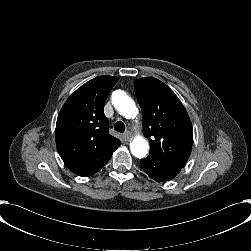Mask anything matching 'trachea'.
<instances>
[{
  "label": "trachea",
  "instance_id": "obj_1",
  "mask_svg": "<svg viewBox=\"0 0 251 251\" xmlns=\"http://www.w3.org/2000/svg\"><path fill=\"white\" fill-rule=\"evenodd\" d=\"M114 130H116L117 132H124L125 131V125L122 121H118L115 123L114 125Z\"/></svg>",
  "mask_w": 251,
  "mask_h": 251
}]
</instances>
